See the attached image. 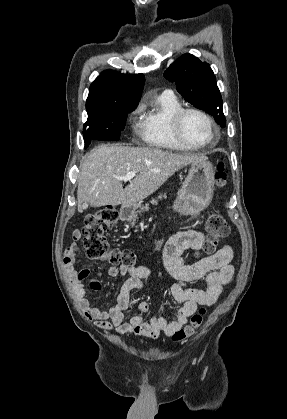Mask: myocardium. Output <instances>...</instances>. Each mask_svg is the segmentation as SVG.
<instances>
[{
	"mask_svg": "<svg viewBox=\"0 0 287 419\" xmlns=\"http://www.w3.org/2000/svg\"><path fill=\"white\" fill-rule=\"evenodd\" d=\"M188 113H194L197 114L199 116H201L206 123L208 124L210 131H211V139L204 143V144H193L191 142H189L188 140H186V138L183 135L182 132V122L184 117L188 114ZM171 126H172V131L175 135V137L177 138V140L184 146L190 148V149H204L207 148L211 145H213L219 138V134H218V129L216 127V124L214 123V121L211 119V117L206 114L204 111L198 109V108H194V107H182L180 109H178L171 118Z\"/></svg>",
	"mask_w": 287,
	"mask_h": 419,
	"instance_id": "f54148a6",
	"label": "myocardium"
}]
</instances>
